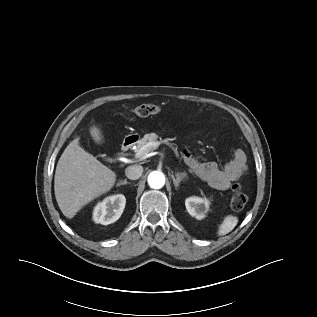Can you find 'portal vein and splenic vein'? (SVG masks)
I'll list each match as a JSON object with an SVG mask.
<instances>
[{"label":"portal vein and splenic vein","mask_w":317,"mask_h":317,"mask_svg":"<svg viewBox=\"0 0 317 317\" xmlns=\"http://www.w3.org/2000/svg\"><path fill=\"white\" fill-rule=\"evenodd\" d=\"M160 145L159 142H149L147 143L144 147H142L140 149V151L136 154V156L138 158H146L148 156L147 153H144V151L147 149V148H150V147H153L154 149H156L158 146Z\"/></svg>","instance_id":"obj_1"}]
</instances>
